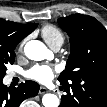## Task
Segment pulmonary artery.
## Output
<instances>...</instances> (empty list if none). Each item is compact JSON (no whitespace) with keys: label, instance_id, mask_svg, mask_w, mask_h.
I'll use <instances>...</instances> for the list:
<instances>
[{"label":"pulmonary artery","instance_id":"e3ab8cb5","mask_svg":"<svg viewBox=\"0 0 107 107\" xmlns=\"http://www.w3.org/2000/svg\"><path fill=\"white\" fill-rule=\"evenodd\" d=\"M60 47H61V45H56V46H54V47H52V48H53L55 51H58V50L60 49ZM13 76H14V74H10V75L8 76V78L11 79Z\"/></svg>","mask_w":107,"mask_h":107}]
</instances>
